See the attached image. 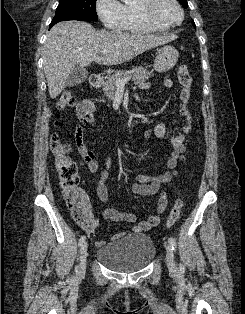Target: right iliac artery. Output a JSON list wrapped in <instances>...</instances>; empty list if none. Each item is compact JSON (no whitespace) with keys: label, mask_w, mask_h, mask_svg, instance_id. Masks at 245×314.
<instances>
[{"label":"right iliac artery","mask_w":245,"mask_h":314,"mask_svg":"<svg viewBox=\"0 0 245 314\" xmlns=\"http://www.w3.org/2000/svg\"><path fill=\"white\" fill-rule=\"evenodd\" d=\"M86 237L83 235L79 239V245H82V243L85 241Z\"/></svg>","instance_id":"1"}]
</instances>
